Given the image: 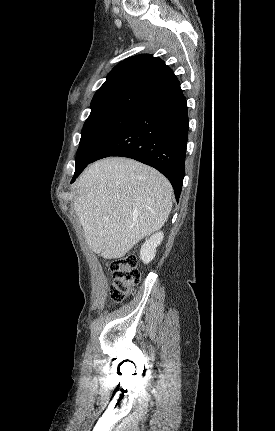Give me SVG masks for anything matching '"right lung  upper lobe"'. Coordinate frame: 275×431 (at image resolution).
<instances>
[{
  "label": "right lung upper lobe",
  "mask_w": 275,
  "mask_h": 431,
  "mask_svg": "<svg viewBox=\"0 0 275 431\" xmlns=\"http://www.w3.org/2000/svg\"><path fill=\"white\" fill-rule=\"evenodd\" d=\"M179 85L160 58L150 54L130 57L108 74L92 99L90 115L113 109L138 110Z\"/></svg>",
  "instance_id": "1"
}]
</instances>
